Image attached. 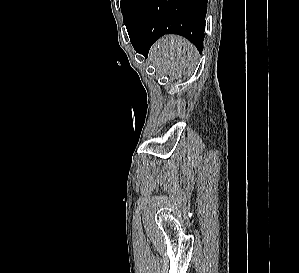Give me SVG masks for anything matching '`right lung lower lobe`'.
Returning <instances> with one entry per match:
<instances>
[{"mask_svg": "<svg viewBox=\"0 0 299 273\" xmlns=\"http://www.w3.org/2000/svg\"><path fill=\"white\" fill-rule=\"evenodd\" d=\"M208 0H134L125 22L135 50L147 57L165 34H178L203 50Z\"/></svg>", "mask_w": 299, "mask_h": 273, "instance_id": "obj_1", "label": "right lung lower lobe"}]
</instances>
